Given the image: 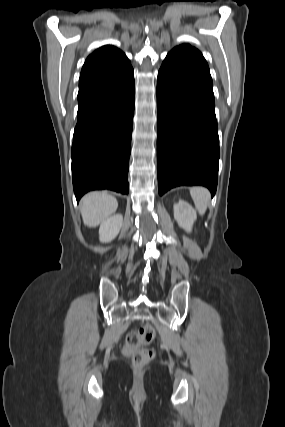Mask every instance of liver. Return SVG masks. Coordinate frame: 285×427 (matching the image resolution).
Returning <instances> with one entry per match:
<instances>
[{"label":"liver","mask_w":285,"mask_h":427,"mask_svg":"<svg viewBox=\"0 0 285 427\" xmlns=\"http://www.w3.org/2000/svg\"><path fill=\"white\" fill-rule=\"evenodd\" d=\"M118 207L116 198L107 192H91L80 202L83 222L88 227H96L110 217Z\"/></svg>","instance_id":"obj_1"}]
</instances>
